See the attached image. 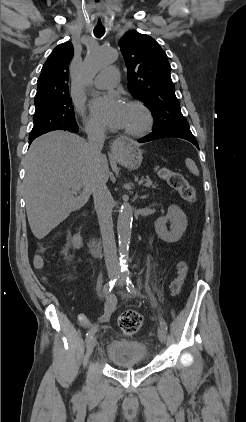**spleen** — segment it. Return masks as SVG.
Segmentation results:
<instances>
[{
    "mask_svg": "<svg viewBox=\"0 0 246 422\" xmlns=\"http://www.w3.org/2000/svg\"><path fill=\"white\" fill-rule=\"evenodd\" d=\"M185 164H186L187 168L189 169V171H190L193 175H195V176H198V175H199V170H198V168H197L196 164L194 163V161H193L192 159L187 158V159L185 160Z\"/></svg>",
    "mask_w": 246,
    "mask_h": 422,
    "instance_id": "obj_1",
    "label": "spleen"
}]
</instances>
